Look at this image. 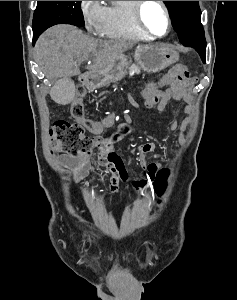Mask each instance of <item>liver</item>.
Instances as JSON below:
<instances>
[{"label":"liver","mask_w":237,"mask_h":300,"mask_svg":"<svg viewBox=\"0 0 237 300\" xmlns=\"http://www.w3.org/2000/svg\"><path fill=\"white\" fill-rule=\"evenodd\" d=\"M129 41H103L84 35L72 25H56L40 35L36 45V61L46 75L55 77L80 75L78 61H90L89 71H100L112 65L119 55L132 49Z\"/></svg>","instance_id":"6515ba94"}]
</instances>
